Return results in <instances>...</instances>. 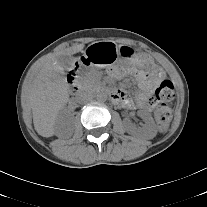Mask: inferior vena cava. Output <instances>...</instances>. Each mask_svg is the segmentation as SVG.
Listing matches in <instances>:
<instances>
[{"label":"inferior vena cava","mask_w":207,"mask_h":207,"mask_svg":"<svg viewBox=\"0 0 207 207\" xmlns=\"http://www.w3.org/2000/svg\"><path fill=\"white\" fill-rule=\"evenodd\" d=\"M93 98V94L90 91H80L77 93L75 100L79 104L89 102Z\"/></svg>","instance_id":"1"}]
</instances>
